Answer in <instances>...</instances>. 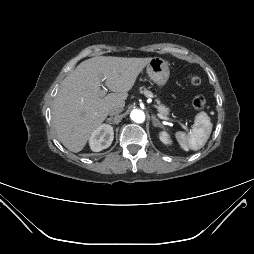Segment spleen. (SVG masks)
Segmentation results:
<instances>
[{
    "label": "spleen",
    "instance_id": "1",
    "mask_svg": "<svg viewBox=\"0 0 254 254\" xmlns=\"http://www.w3.org/2000/svg\"><path fill=\"white\" fill-rule=\"evenodd\" d=\"M213 124L206 112H200L195 116L193 130L188 134L177 132L175 137L185 151L201 149L208 141Z\"/></svg>",
    "mask_w": 254,
    "mask_h": 254
}]
</instances>
